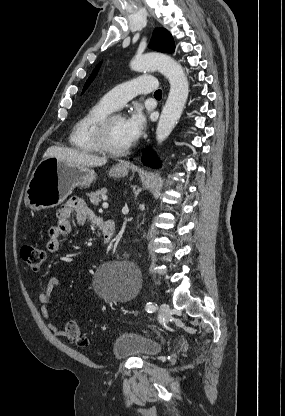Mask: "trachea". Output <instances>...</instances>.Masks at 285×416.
Returning a JSON list of instances; mask_svg holds the SVG:
<instances>
[{
  "instance_id": "3493384b",
  "label": "trachea",
  "mask_w": 285,
  "mask_h": 416,
  "mask_svg": "<svg viewBox=\"0 0 285 416\" xmlns=\"http://www.w3.org/2000/svg\"><path fill=\"white\" fill-rule=\"evenodd\" d=\"M155 97H162V91L161 90H156L154 93Z\"/></svg>"
}]
</instances>
